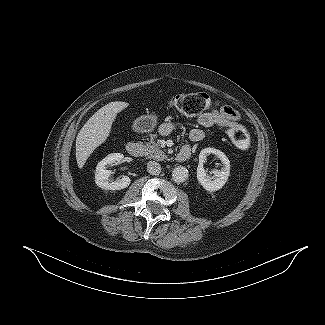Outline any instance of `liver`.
<instances>
[{"label": "liver", "instance_id": "liver-1", "mask_svg": "<svg viewBox=\"0 0 325 325\" xmlns=\"http://www.w3.org/2000/svg\"><path fill=\"white\" fill-rule=\"evenodd\" d=\"M128 106L127 102H110L95 112L84 124L76 138V160L80 169L92 152L107 140L117 114Z\"/></svg>", "mask_w": 325, "mask_h": 325}]
</instances>
